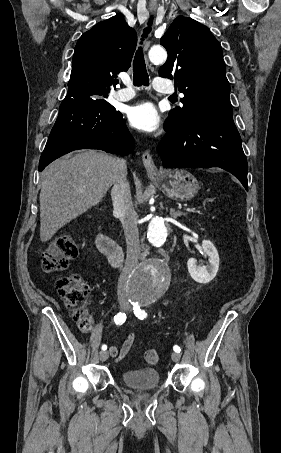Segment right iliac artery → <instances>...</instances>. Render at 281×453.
<instances>
[{"mask_svg": "<svg viewBox=\"0 0 281 453\" xmlns=\"http://www.w3.org/2000/svg\"><path fill=\"white\" fill-rule=\"evenodd\" d=\"M126 320V314L125 313H118L116 316H114V322L117 324V325H122ZM107 349V346L106 345H103L102 346V350H106Z\"/></svg>", "mask_w": 281, "mask_h": 453, "instance_id": "1", "label": "right iliac artery"}]
</instances>
